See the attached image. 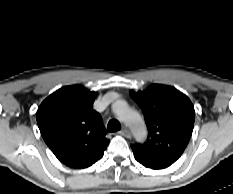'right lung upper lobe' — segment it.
<instances>
[{"label": "right lung upper lobe", "instance_id": "right-lung-upper-lobe-1", "mask_svg": "<svg viewBox=\"0 0 233 194\" xmlns=\"http://www.w3.org/2000/svg\"><path fill=\"white\" fill-rule=\"evenodd\" d=\"M96 93L81 85L60 88L40 105L37 123L55 156L71 168H87L109 144L102 118L92 109Z\"/></svg>", "mask_w": 233, "mask_h": 194}]
</instances>
